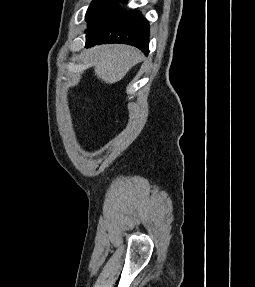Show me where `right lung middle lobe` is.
<instances>
[{
	"label": "right lung middle lobe",
	"instance_id": "right-lung-middle-lobe-1",
	"mask_svg": "<svg viewBox=\"0 0 255 287\" xmlns=\"http://www.w3.org/2000/svg\"><path fill=\"white\" fill-rule=\"evenodd\" d=\"M119 2L126 3L127 0H93L85 16L87 30L121 11Z\"/></svg>",
	"mask_w": 255,
	"mask_h": 287
}]
</instances>
